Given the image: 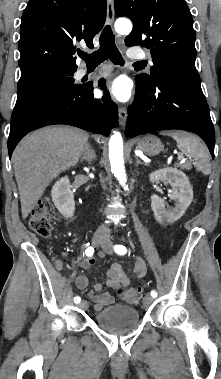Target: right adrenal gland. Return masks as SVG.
<instances>
[{"instance_id":"2a0ac1e0","label":"right adrenal gland","mask_w":221,"mask_h":379,"mask_svg":"<svg viewBox=\"0 0 221 379\" xmlns=\"http://www.w3.org/2000/svg\"><path fill=\"white\" fill-rule=\"evenodd\" d=\"M95 158H96V155L94 151L92 150L90 144L87 143L85 146L84 152L80 158V161L82 162L83 160H85L86 162H88V164H91L92 161L95 160Z\"/></svg>"}]
</instances>
